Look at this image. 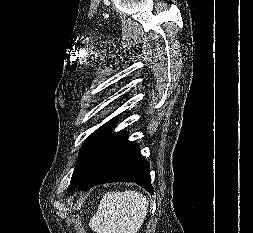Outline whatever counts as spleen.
Listing matches in <instances>:
<instances>
[{"label": "spleen", "instance_id": "obj_1", "mask_svg": "<svg viewBox=\"0 0 253 233\" xmlns=\"http://www.w3.org/2000/svg\"><path fill=\"white\" fill-rule=\"evenodd\" d=\"M148 212V200L135 190L107 192L90 219L96 233H137Z\"/></svg>", "mask_w": 253, "mask_h": 233}]
</instances>
